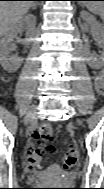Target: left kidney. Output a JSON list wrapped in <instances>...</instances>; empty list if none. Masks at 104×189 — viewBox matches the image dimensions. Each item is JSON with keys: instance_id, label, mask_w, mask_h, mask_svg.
Masks as SVG:
<instances>
[{"instance_id": "1", "label": "left kidney", "mask_w": 104, "mask_h": 189, "mask_svg": "<svg viewBox=\"0 0 104 189\" xmlns=\"http://www.w3.org/2000/svg\"><path fill=\"white\" fill-rule=\"evenodd\" d=\"M81 17L90 24L92 28V32L94 37L96 38L98 45L103 46V38H104V27L101 23H99L92 15L89 13L82 11ZM103 56L98 58H93L91 55L88 54L87 62L91 67L102 66L103 65Z\"/></svg>"}]
</instances>
